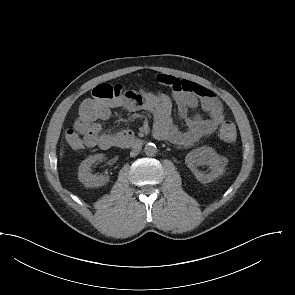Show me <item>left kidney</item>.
I'll use <instances>...</instances> for the list:
<instances>
[{"instance_id":"5707ae66","label":"left kidney","mask_w":295,"mask_h":295,"mask_svg":"<svg viewBox=\"0 0 295 295\" xmlns=\"http://www.w3.org/2000/svg\"><path fill=\"white\" fill-rule=\"evenodd\" d=\"M185 164L194 173L198 181L208 183L222 175L224 160L217 152L208 146H202L190 151L185 157ZM200 165H209L211 171L204 174L196 169Z\"/></svg>"}]
</instances>
